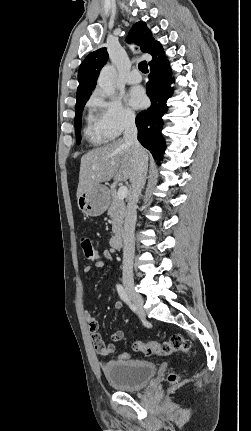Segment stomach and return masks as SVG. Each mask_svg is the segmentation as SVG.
Here are the masks:
<instances>
[{
  "label": "stomach",
  "mask_w": 251,
  "mask_h": 431,
  "mask_svg": "<svg viewBox=\"0 0 251 431\" xmlns=\"http://www.w3.org/2000/svg\"><path fill=\"white\" fill-rule=\"evenodd\" d=\"M109 206V190L104 185H95L78 198V207L86 216L102 215Z\"/></svg>",
  "instance_id": "obj_1"
}]
</instances>
